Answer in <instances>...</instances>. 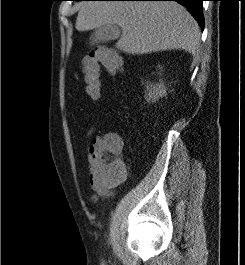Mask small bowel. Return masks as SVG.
Returning <instances> with one entry per match:
<instances>
[{
	"label": "small bowel",
	"instance_id": "1",
	"mask_svg": "<svg viewBox=\"0 0 245 265\" xmlns=\"http://www.w3.org/2000/svg\"><path fill=\"white\" fill-rule=\"evenodd\" d=\"M94 128H91L88 132V137L92 136ZM110 134L104 137H93L91 139V143L87 147V155L90 162V173H89V182L92 190L94 191V195L92 196V200L96 201L98 199L110 198L114 195V190L120 183L123 181V178L116 180H109L103 174H101L93 165V156L95 152L103 145L105 139Z\"/></svg>",
	"mask_w": 245,
	"mask_h": 265
}]
</instances>
